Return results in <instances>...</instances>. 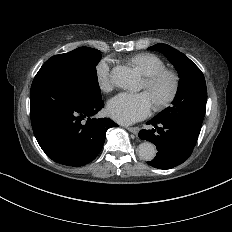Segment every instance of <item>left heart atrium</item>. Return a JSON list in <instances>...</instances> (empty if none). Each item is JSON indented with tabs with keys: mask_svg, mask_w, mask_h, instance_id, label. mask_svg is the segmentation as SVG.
Returning a JSON list of instances; mask_svg holds the SVG:
<instances>
[{
	"mask_svg": "<svg viewBox=\"0 0 232 232\" xmlns=\"http://www.w3.org/2000/svg\"><path fill=\"white\" fill-rule=\"evenodd\" d=\"M154 109V103L147 92L140 94L121 93L107 104V114L122 124H132L146 118Z\"/></svg>",
	"mask_w": 232,
	"mask_h": 232,
	"instance_id": "39dd6f15",
	"label": "left heart atrium"
}]
</instances>
